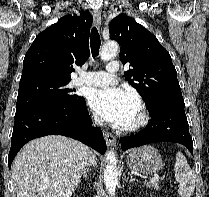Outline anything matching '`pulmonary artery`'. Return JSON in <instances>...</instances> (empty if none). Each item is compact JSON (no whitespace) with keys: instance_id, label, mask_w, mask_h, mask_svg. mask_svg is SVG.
Returning a JSON list of instances; mask_svg holds the SVG:
<instances>
[{"instance_id":"pulmonary-artery-1","label":"pulmonary artery","mask_w":209,"mask_h":197,"mask_svg":"<svg viewBox=\"0 0 209 197\" xmlns=\"http://www.w3.org/2000/svg\"><path fill=\"white\" fill-rule=\"evenodd\" d=\"M119 70L118 61H112L107 65L106 71L89 72L77 79L78 84L105 87L116 82L115 74Z\"/></svg>"}]
</instances>
